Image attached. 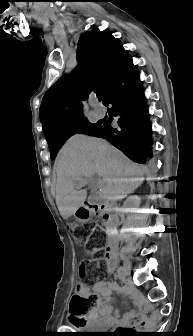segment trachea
<instances>
[{"instance_id":"1","label":"trachea","mask_w":193,"mask_h":336,"mask_svg":"<svg viewBox=\"0 0 193 336\" xmlns=\"http://www.w3.org/2000/svg\"><path fill=\"white\" fill-rule=\"evenodd\" d=\"M97 98H98V100H99V101H101V100H102V96H101V94H100V93H97Z\"/></svg>"}]
</instances>
